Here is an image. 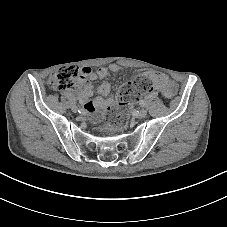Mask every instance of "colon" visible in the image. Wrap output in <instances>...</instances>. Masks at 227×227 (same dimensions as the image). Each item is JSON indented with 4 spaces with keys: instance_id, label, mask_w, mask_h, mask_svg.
Returning <instances> with one entry per match:
<instances>
[{
    "instance_id": "colon-1",
    "label": "colon",
    "mask_w": 227,
    "mask_h": 227,
    "mask_svg": "<svg viewBox=\"0 0 227 227\" xmlns=\"http://www.w3.org/2000/svg\"><path fill=\"white\" fill-rule=\"evenodd\" d=\"M79 83V70L73 66H64L53 73L49 78L48 86L53 90L63 91L78 89ZM151 87V80L146 75L137 76L122 86L118 93L117 105L109 114V119L116 128L126 124L131 105L143 92H149Z\"/></svg>"
}]
</instances>
